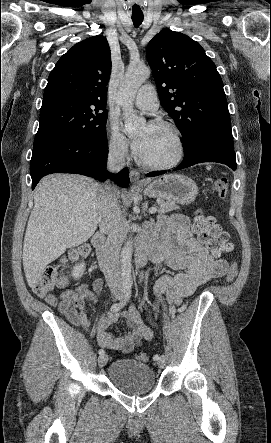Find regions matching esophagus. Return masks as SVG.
<instances>
[{"mask_svg": "<svg viewBox=\"0 0 271 443\" xmlns=\"http://www.w3.org/2000/svg\"><path fill=\"white\" fill-rule=\"evenodd\" d=\"M130 181L133 185H139V186H142L143 184L146 183L140 180V173L137 170L130 171Z\"/></svg>", "mask_w": 271, "mask_h": 443, "instance_id": "1", "label": "esophagus"}]
</instances>
